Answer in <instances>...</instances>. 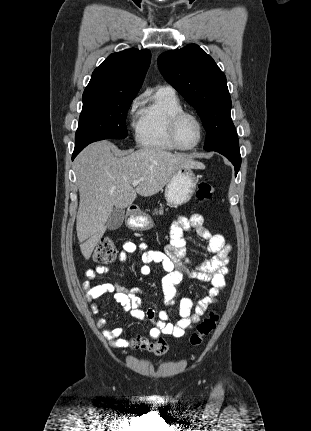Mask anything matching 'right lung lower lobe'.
Instances as JSON below:
<instances>
[{"mask_svg": "<svg viewBox=\"0 0 311 431\" xmlns=\"http://www.w3.org/2000/svg\"><path fill=\"white\" fill-rule=\"evenodd\" d=\"M98 141L96 139H90V140H86L80 143H75V149L72 155V160L76 157V155L83 149L85 148L88 144Z\"/></svg>", "mask_w": 311, "mask_h": 431, "instance_id": "right-lung-lower-lobe-1", "label": "right lung lower lobe"}]
</instances>
